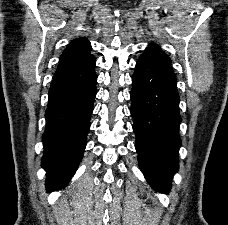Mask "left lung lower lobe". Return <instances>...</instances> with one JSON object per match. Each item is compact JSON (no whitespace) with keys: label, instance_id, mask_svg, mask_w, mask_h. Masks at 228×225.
<instances>
[{"label":"left lung lower lobe","instance_id":"0a47b994","mask_svg":"<svg viewBox=\"0 0 228 225\" xmlns=\"http://www.w3.org/2000/svg\"><path fill=\"white\" fill-rule=\"evenodd\" d=\"M170 63L141 55L132 78L131 115L141 171L157 191L168 193L178 171L181 144L179 95Z\"/></svg>","mask_w":228,"mask_h":225}]
</instances>
